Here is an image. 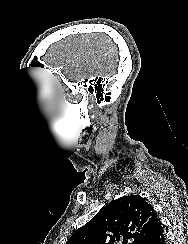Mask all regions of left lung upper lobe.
<instances>
[{"mask_svg": "<svg viewBox=\"0 0 188 244\" xmlns=\"http://www.w3.org/2000/svg\"><path fill=\"white\" fill-rule=\"evenodd\" d=\"M157 219L145 199L123 196L104 206L66 244H146Z\"/></svg>", "mask_w": 188, "mask_h": 244, "instance_id": "5c2ea615", "label": "left lung upper lobe"}]
</instances>
